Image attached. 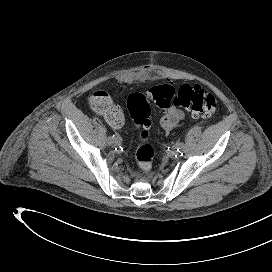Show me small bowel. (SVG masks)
I'll return each mask as SVG.
<instances>
[{"label": "small bowel", "mask_w": 272, "mask_h": 272, "mask_svg": "<svg viewBox=\"0 0 272 272\" xmlns=\"http://www.w3.org/2000/svg\"><path fill=\"white\" fill-rule=\"evenodd\" d=\"M95 109V108H94ZM104 116L106 121L115 129L122 127L124 118L119 108L112 103L108 97V105L105 110L95 109ZM185 119V113L177 106H171L164 111L160 118V126L166 134H169L175 127L179 126Z\"/></svg>", "instance_id": "small-bowel-1"}]
</instances>
